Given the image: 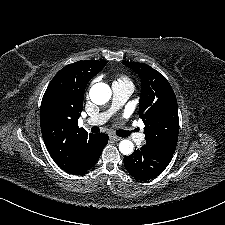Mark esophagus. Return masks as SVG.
<instances>
[{
  "mask_svg": "<svg viewBox=\"0 0 225 225\" xmlns=\"http://www.w3.org/2000/svg\"><path fill=\"white\" fill-rule=\"evenodd\" d=\"M109 138H110L111 140H113V141H120V140H122V138L117 137V136L114 135V134H110V135H109Z\"/></svg>",
  "mask_w": 225,
  "mask_h": 225,
  "instance_id": "1",
  "label": "esophagus"
}]
</instances>
